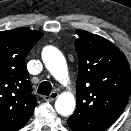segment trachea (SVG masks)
Returning <instances> with one entry per match:
<instances>
[{"label": "trachea", "instance_id": "1", "mask_svg": "<svg viewBox=\"0 0 131 131\" xmlns=\"http://www.w3.org/2000/svg\"><path fill=\"white\" fill-rule=\"evenodd\" d=\"M52 90V85L51 83L47 82V81H43L37 90V93L42 94V95H49L51 93Z\"/></svg>", "mask_w": 131, "mask_h": 131}]
</instances>
